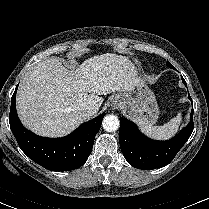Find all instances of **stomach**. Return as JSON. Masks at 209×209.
I'll return each instance as SVG.
<instances>
[{
    "mask_svg": "<svg viewBox=\"0 0 209 209\" xmlns=\"http://www.w3.org/2000/svg\"><path fill=\"white\" fill-rule=\"evenodd\" d=\"M121 108L137 121L154 124L159 117L156 97L151 89L141 80L131 90L120 95Z\"/></svg>",
    "mask_w": 209,
    "mask_h": 209,
    "instance_id": "0dacf381",
    "label": "stomach"
}]
</instances>
